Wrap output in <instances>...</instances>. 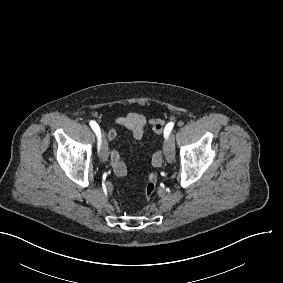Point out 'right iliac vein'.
<instances>
[{"label":"right iliac vein","mask_w":283,"mask_h":283,"mask_svg":"<svg viewBox=\"0 0 283 283\" xmlns=\"http://www.w3.org/2000/svg\"><path fill=\"white\" fill-rule=\"evenodd\" d=\"M101 133H102V145H101L100 157L103 161H107L108 149H107L106 136L104 131H102Z\"/></svg>","instance_id":"63e3f726"}]
</instances>
